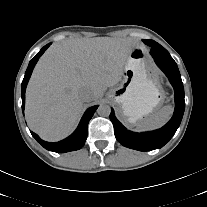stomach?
I'll return each instance as SVG.
<instances>
[{
	"mask_svg": "<svg viewBox=\"0 0 207 207\" xmlns=\"http://www.w3.org/2000/svg\"><path fill=\"white\" fill-rule=\"evenodd\" d=\"M107 97L120 107L124 121L130 124L147 117L163 103L164 90L141 45L130 52L120 83L108 91Z\"/></svg>",
	"mask_w": 207,
	"mask_h": 207,
	"instance_id": "obj_1",
	"label": "stomach"
}]
</instances>
